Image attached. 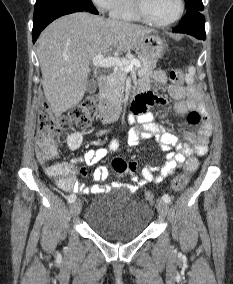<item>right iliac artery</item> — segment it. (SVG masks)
Segmentation results:
<instances>
[{"mask_svg":"<svg viewBox=\"0 0 233 284\" xmlns=\"http://www.w3.org/2000/svg\"><path fill=\"white\" fill-rule=\"evenodd\" d=\"M105 132H106V131H101L99 134H103V133H105ZM75 200H76V195L71 194V195L68 196V202H69V203H73V202H75Z\"/></svg>","mask_w":233,"mask_h":284,"instance_id":"1","label":"right iliac artery"}]
</instances>
